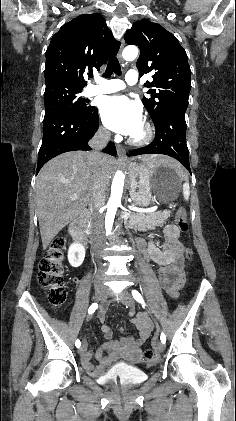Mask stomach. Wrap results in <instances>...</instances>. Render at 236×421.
<instances>
[{"mask_svg": "<svg viewBox=\"0 0 236 421\" xmlns=\"http://www.w3.org/2000/svg\"><path fill=\"white\" fill-rule=\"evenodd\" d=\"M130 196L138 206H148L152 198L160 202L176 200L182 176L167 164L146 166L139 162H127Z\"/></svg>", "mask_w": 236, "mask_h": 421, "instance_id": "1", "label": "stomach"}]
</instances>
